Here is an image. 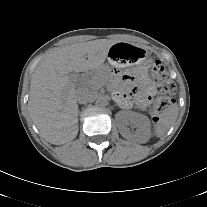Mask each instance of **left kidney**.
<instances>
[{
  "instance_id": "obj_1",
  "label": "left kidney",
  "mask_w": 207,
  "mask_h": 207,
  "mask_svg": "<svg viewBox=\"0 0 207 207\" xmlns=\"http://www.w3.org/2000/svg\"><path fill=\"white\" fill-rule=\"evenodd\" d=\"M116 119L121 121L120 133L124 138L135 137L143 140L150 138V121L145 115L130 111H119L116 114ZM128 123L136 128L135 134L127 129Z\"/></svg>"
}]
</instances>
